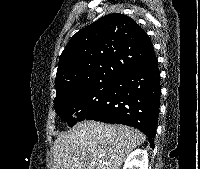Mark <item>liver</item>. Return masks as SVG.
<instances>
[{
    "instance_id": "liver-1",
    "label": "liver",
    "mask_w": 200,
    "mask_h": 169,
    "mask_svg": "<svg viewBox=\"0 0 200 169\" xmlns=\"http://www.w3.org/2000/svg\"><path fill=\"white\" fill-rule=\"evenodd\" d=\"M145 140L129 126L83 121L55 140L52 169H120Z\"/></svg>"
}]
</instances>
